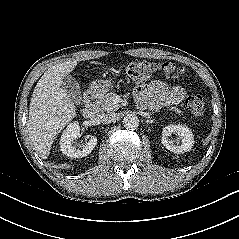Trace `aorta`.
Returning a JSON list of instances; mask_svg holds the SVG:
<instances>
[{"label": "aorta", "mask_w": 239, "mask_h": 239, "mask_svg": "<svg viewBox=\"0 0 239 239\" xmlns=\"http://www.w3.org/2000/svg\"><path fill=\"white\" fill-rule=\"evenodd\" d=\"M123 124L126 129L135 130L139 126V119L136 115L128 114L124 117Z\"/></svg>", "instance_id": "762f6f07"}]
</instances>
